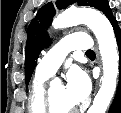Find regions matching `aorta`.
Instances as JSON below:
<instances>
[{
  "label": "aorta",
  "mask_w": 121,
  "mask_h": 113,
  "mask_svg": "<svg viewBox=\"0 0 121 113\" xmlns=\"http://www.w3.org/2000/svg\"><path fill=\"white\" fill-rule=\"evenodd\" d=\"M79 23L86 24L95 34L103 62L101 87L87 113H105L116 89L118 76L117 43L109 20L99 11L89 8H75L64 11L53 20L56 29Z\"/></svg>",
  "instance_id": "762f6f07"
}]
</instances>
